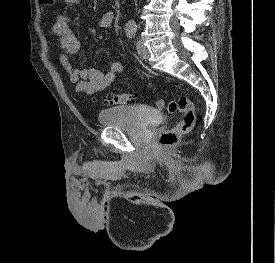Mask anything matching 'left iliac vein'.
<instances>
[{
    "mask_svg": "<svg viewBox=\"0 0 275 263\" xmlns=\"http://www.w3.org/2000/svg\"><path fill=\"white\" fill-rule=\"evenodd\" d=\"M136 48L139 57L143 60H146L148 58V50L140 40L137 41Z\"/></svg>",
    "mask_w": 275,
    "mask_h": 263,
    "instance_id": "obj_1",
    "label": "left iliac vein"
}]
</instances>
